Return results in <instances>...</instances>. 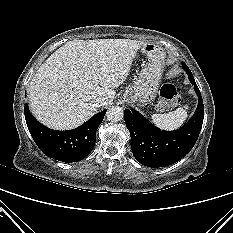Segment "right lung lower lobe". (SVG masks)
<instances>
[{
  "instance_id": "98d812e1",
  "label": "right lung lower lobe",
  "mask_w": 233,
  "mask_h": 233,
  "mask_svg": "<svg viewBox=\"0 0 233 233\" xmlns=\"http://www.w3.org/2000/svg\"><path fill=\"white\" fill-rule=\"evenodd\" d=\"M106 111L97 113L76 129L58 131L38 122L29 111L28 105L24 106L26 123L37 146L47 156L62 162L80 161L92 151L97 128Z\"/></svg>"
}]
</instances>
